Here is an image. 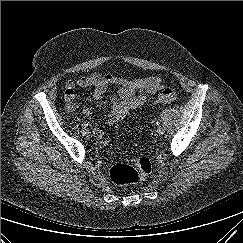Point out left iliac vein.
<instances>
[{
    "mask_svg": "<svg viewBox=\"0 0 243 243\" xmlns=\"http://www.w3.org/2000/svg\"><path fill=\"white\" fill-rule=\"evenodd\" d=\"M156 131H157L158 134L161 135V134L164 133V128L162 126H158Z\"/></svg>",
    "mask_w": 243,
    "mask_h": 243,
    "instance_id": "4c4485c4",
    "label": "left iliac vein"
}]
</instances>
